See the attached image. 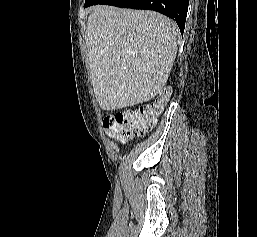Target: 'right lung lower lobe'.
Instances as JSON below:
<instances>
[{"instance_id": "98d812e1", "label": "right lung lower lobe", "mask_w": 257, "mask_h": 237, "mask_svg": "<svg viewBox=\"0 0 257 237\" xmlns=\"http://www.w3.org/2000/svg\"><path fill=\"white\" fill-rule=\"evenodd\" d=\"M102 4L157 11L175 20L183 33L189 0H106Z\"/></svg>"}]
</instances>
